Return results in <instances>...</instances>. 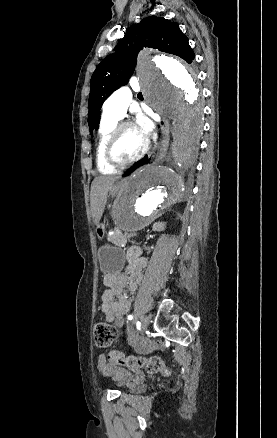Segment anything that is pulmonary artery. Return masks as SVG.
Returning a JSON list of instances; mask_svg holds the SVG:
<instances>
[{"instance_id": "e3ab8cb5", "label": "pulmonary artery", "mask_w": 277, "mask_h": 438, "mask_svg": "<svg viewBox=\"0 0 277 438\" xmlns=\"http://www.w3.org/2000/svg\"><path fill=\"white\" fill-rule=\"evenodd\" d=\"M132 79L127 87H114L113 94L107 96V103L103 106L104 118L120 120L125 117L126 111L132 101V91L140 90L141 83L137 76H129Z\"/></svg>"}]
</instances>
